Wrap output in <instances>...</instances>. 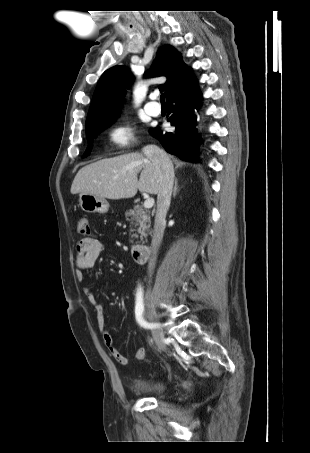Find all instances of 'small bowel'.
Masks as SVG:
<instances>
[{
    "mask_svg": "<svg viewBox=\"0 0 310 453\" xmlns=\"http://www.w3.org/2000/svg\"><path fill=\"white\" fill-rule=\"evenodd\" d=\"M103 250V244L99 239L94 237L81 238L75 248L76 277L79 281L84 278V272L91 269L98 260ZM84 294L88 301L93 305L98 328L102 334L103 342L110 355L121 365H127L129 360L115 346L112 335L106 328L105 314L103 306L97 301L94 290L91 287L84 288ZM146 350L140 347L135 352L137 360H144Z\"/></svg>",
    "mask_w": 310,
    "mask_h": 453,
    "instance_id": "obj_1",
    "label": "small bowel"
}]
</instances>
